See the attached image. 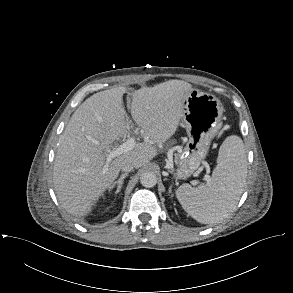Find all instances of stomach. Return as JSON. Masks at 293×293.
I'll use <instances>...</instances> for the list:
<instances>
[{
	"label": "stomach",
	"instance_id": "obj_1",
	"mask_svg": "<svg viewBox=\"0 0 293 293\" xmlns=\"http://www.w3.org/2000/svg\"><path fill=\"white\" fill-rule=\"evenodd\" d=\"M182 125L188 142L179 156L175 178L187 179L205 159L211 140L222 127L223 105L215 96L192 88L183 99Z\"/></svg>",
	"mask_w": 293,
	"mask_h": 293
}]
</instances>
